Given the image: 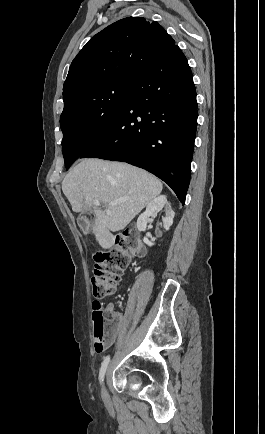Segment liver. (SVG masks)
Instances as JSON below:
<instances>
[{
  "instance_id": "6515ba94",
  "label": "liver",
  "mask_w": 265,
  "mask_h": 434,
  "mask_svg": "<svg viewBox=\"0 0 265 434\" xmlns=\"http://www.w3.org/2000/svg\"><path fill=\"white\" fill-rule=\"evenodd\" d=\"M162 182L145 170L129 164L104 162L85 158L72 168L62 182L63 194L68 198L73 212L95 214L92 228L101 248L108 250L114 246L111 232L124 230L131 220L161 194ZM128 198L127 202L109 206L108 202ZM99 200L102 208L93 206Z\"/></svg>"
}]
</instances>
